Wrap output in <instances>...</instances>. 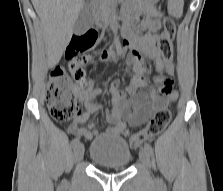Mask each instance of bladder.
I'll return each instance as SVG.
<instances>
[{
	"label": "bladder",
	"mask_w": 223,
	"mask_h": 191,
	"mask_svg": "<svg viewBox=\"0 0 223 191\" xmlns=\"http://www.w3.org/2000/svg\"><path fill=\"white\" fill-rule=\"evenodd\" d=\"M89 155L99 166L124 168L131 161L132 151L124 138L105 135L91 143Z\"/></svg>",
	"instance_id": "1"
}]
</instances>
